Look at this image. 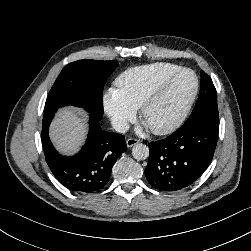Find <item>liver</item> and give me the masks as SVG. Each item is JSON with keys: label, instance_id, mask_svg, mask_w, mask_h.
Returning <instances> with one entry per match:
<instances>
[{"label": "liver", "instance_id": "6515ba94", "mask_svg": "<svg viewBox=\"0 0 251 251\" xmlns=\"http://www.w3.org/2000/svg\"><path fill=\"white\" fill-rule=\"evenodd\" d=\"M87 133V122L82 112L69 107L60 109L50 127V138L64 154L76 152Z\"/></svg>", "mask_w": 251, "mask_h": 251}]
</instances>
